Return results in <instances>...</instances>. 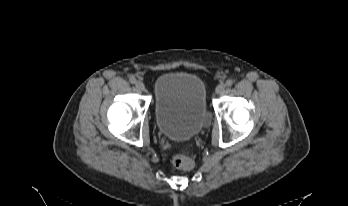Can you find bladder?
Returning <instances> with one entry per match:
<instances>
[{
    "label": "bladder",
    "mask_w": 348,
    "mask_h": 206,
    "mask_svg": "<svg viewBox=\"0 0 348 206\" xmlns=\"http://www.w3.org/2000/svg\"><path fill=\"white\" fill-rule=\"evenodd\" d=\"M155 113L159 131L175 141L195 138L209 125L206 89L191 74L165 73L154 82Z\"/></svg>",
    "instance_id": "1"
}]
</instances>
